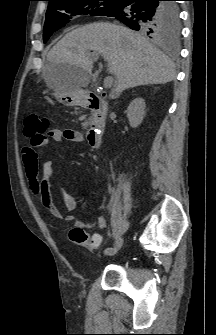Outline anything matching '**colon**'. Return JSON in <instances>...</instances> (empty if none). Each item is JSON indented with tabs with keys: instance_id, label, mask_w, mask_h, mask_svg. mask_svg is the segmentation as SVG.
Masks as SVG:
<instances>
[{
	"instance_id": "colon-1",
	"label": "colon",
	"mask_w": 216,
	"mask_h": 335,
	"mask_svg": "<svg viewBox=\"0 0 216 335\" xmlns=\"http://www.w3.org/2000/svg\"><path fill=\"white\" fill-rule=\"evenodd\" d=\"M49 120L36 113L29 112L25 116V135L30 139L31 146L37 147L46 137ZM70 240L79 246L97 248L101 242L98 237H90L82 228L74 227L69 231Z\"/></svg>"
}]
</instances>
